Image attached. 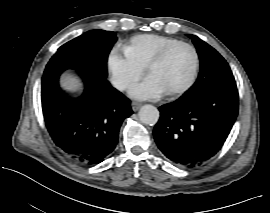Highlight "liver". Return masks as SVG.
Wrapping results in <instances>:
<instances>
[{"instance_id": "1", "label": "liver", "mask_w": 270, "mask_h": 213, "mask_svg": "<svg viewBox=\"0 0 270 213\" xmlns=\"http://www.w3.org/2000/svg\"><path fill=\"white\" fill-rule=\"evenodd\" d=\"M78 83L76 82L75 78L70 75L65 76L63 80V87L67 90H76L78 89Z\"/></svg>"}]
</instances>
